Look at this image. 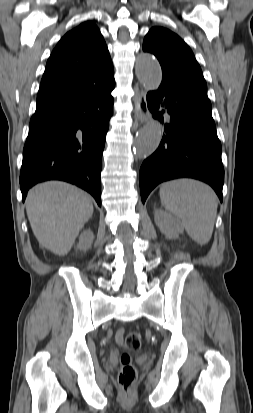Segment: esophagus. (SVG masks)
I'll return each instance as SVG.
<instances>
[{
    "label": "esophagus",
    "mask_w": 253,
    "mask_h": 413,
    "mask_svg": "<svg viewBox=\"0 0 253 413\" xmlns=\"http://www.w3.org/2000/svg\"><path fill=\"white\" fill-rule=\"evenodd\" d=\"M135 115L140 124L146 122L149 118V110L147 107L146 93L144 90L140 91V94L135 102Z\"/></svg>",
    "instance_id": "1"
}]
</instances>
